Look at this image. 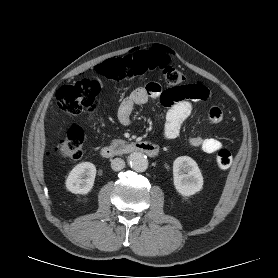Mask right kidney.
<instances>
[{
	"mask_svg": "<svg viewBox=\"0 0 278 278\" xmlns=\"http://www.w3.org/2000/svg\"><path fill=\"white\" fill-rule=\"evenodd\" d=\"M96 167L90 162L77 164L66 179V188L74 194H87L94 185Z\"/></svg>",
	"mask_w": 278,
	"mask_h": 278,
	"instance_id": "obj_1",
	"label": "right kidney"
}]
</instances>
